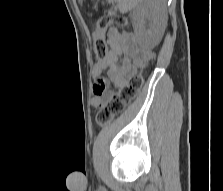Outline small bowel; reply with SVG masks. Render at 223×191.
Here are the masks:
<instances>
[{
    "mask_svg": "<svg viewBox=\"0 0 223 191\" xmlns=\"http://www.w3.org/2000/svg\"><path fill=\"white\" fill-rule=\"evenodd\" d=\"M107 44L108 69L105 72L106 77L96 78L93 85L94 106L102 105L113 94L110 83L116 88L124 86L127 79L134 75L138 67L145 64L153 54L151 50L140 47L131 34L116 28L110 29Z\"/></svg>",
    "mask_w": 223,
    "mask_h": 191,
    "instance_id": "small-bowel-1",
    "label": "small bowel"
}]
</instances>
